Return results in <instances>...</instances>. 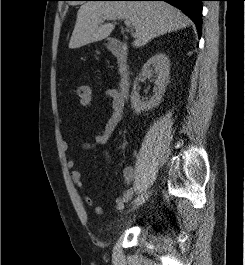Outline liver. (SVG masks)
Segmentation results:
<instances>
[{"label":"liver","mask_w":245,"mask_h":265,"mask_svg":"<svg viewBox=\"0 0 245 265\" xmlns=\"http://www.w3.org/2000/svg\"><path fill=\"white\" fill-rule=\"evenodd\" d=\"M106 16H120L132 22L136 30L133 42L136 48L160 35L190 25V19L185 14L166 2L89 1L77 12L69 48H80L107 38L115 26L103 24L102 18Z\"/></svg>","instance_id":"liver-1"}]
</instances>
